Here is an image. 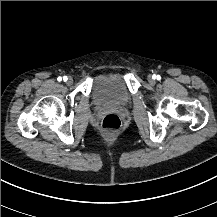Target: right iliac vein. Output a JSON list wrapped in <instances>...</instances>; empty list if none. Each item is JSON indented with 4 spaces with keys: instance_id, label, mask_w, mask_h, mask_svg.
Returning <instances> with one entry per match:
<instances>
[{
    "instance_id": "obj_1",
    "label": "right iliac vein",
    "mask_w": 217,
    "mask_h": 217,
    "mask_svg": "<svg viewBox=\"0 0 217 217\" xmlns=\"http://www.w3.org/2000/svg\"><path fill=\"white\" fill-rule=\"evenodd\" d=\"M66 82L68 85H71V84H73V79L71 77H68Z\"/></svg>"
}]
</instances>
